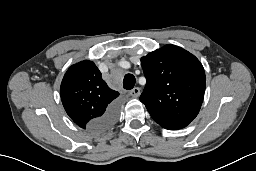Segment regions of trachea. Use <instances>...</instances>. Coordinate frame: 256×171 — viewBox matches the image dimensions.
<instances>
[{"label": "trachea", "instance_id": "obj_1", "mask_svg": "<svg viewBox=\"0 0 256 171\" xmlns=\"http://www.w3.org/2000/svg\"><path fill=\"white\" fill-rule=\"evenodd\" d=\"M136 83L135 76L133 74H126L123 79V87L126 90H131Z\"/></svg>", "mask_w": 256, "mask_h": 171}]
</instances>
